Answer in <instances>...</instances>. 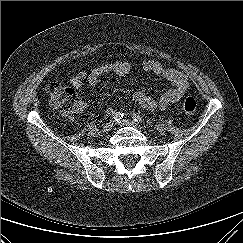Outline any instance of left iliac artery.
<instances>
[{
	"instance_id": "1",
	"label": "left iliac artery",
	"mask_w": 243,
	"mask_h": 243,
	"mask_svg": "<svg viewBox=\"0 0 243 243\" xmlns=\"http://www.w3.org/2000/svg\"><path fill=\"white\" fill-rule=\"evenodd\" d=\"M132 118H133V120L135 121V122H138V123H143L144 122V120L142 119V117L141 116H139V115H137V114H132Z\"/></svg>"
}]
</instances>
